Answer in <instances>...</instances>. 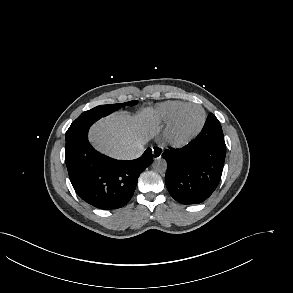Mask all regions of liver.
<instances>
[{"label": "liver", "instance_id": "1", "mask_svg": "<svg viewBox=\"0 0 293 293\" xmlns=\"http://www.w3.org/2000/svg\"><path fill=\"white\" fill-rule=\"evenodd\" d=\"M159 131L156 111L147 107L131 116L115 113L92 126L89 140L100 152L124 159L127 150L145 145Z\"/></svg>", "mask_w": 293, "mask_h": 293}]
</instances>
